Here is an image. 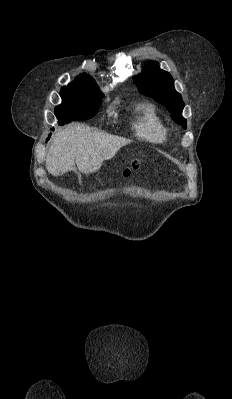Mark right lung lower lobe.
Returning <instances> with one entry per match:
<instances>
[{
	"label": "right lung lower lobe",
	"mask_w": 232,
	"mask_h": 399,
	"mask_svg": "<svg viewBox=\"0 0 232 399\" xmlns=\"http://www.w3.org/2000/svg\"><path fill=\"white\" fill-rule=\"evenodd\" d=\"M58 123H59V125H64L63 123H61V122H59V121H58ZM48 139H49V138H48Z\"/></svg>",
	"instance_id": "1"
}]
</instances>
